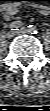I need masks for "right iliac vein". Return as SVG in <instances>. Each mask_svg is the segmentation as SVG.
Instances as JSON below:
<instances>
[{
	"instance_id": "right-iliac-vein-1",
	"label": "right iliac vein",
	"mask_w": 50,
	"mask_h": 111,
	"mask_svg": "<svg viewBox=\"0 0 50 111\" xmlns=\"http://www.w3.org/2000/svg\"><path fill=\"white\" fill-rule=\"evenodd\" d=\"M14 35H15L14 31H8L7 34H6L8 39H11Z\"/></svg>"
}]
</instances>
